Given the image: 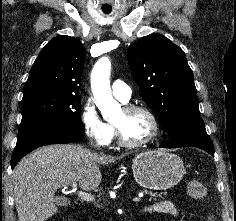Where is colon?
<instances>
[{
	"label": "colon",
	"instance_id": "5ec220e1",
	"mask_svg": "<svg viewBox=\"0 0 236 221\" xmlns=\"http://www.w3.org/2000/svg\"><path fill=\"white\" fill-rule=\"evenodd\" d=\"M188 194L193 199L206 201L208 199V191L204 184L200 181H190L188 183ZM209 221H214L213 217H209Z\"/></svg>",
	"mask_w": 236,
	"mask_h": 221
}]
</instances>
